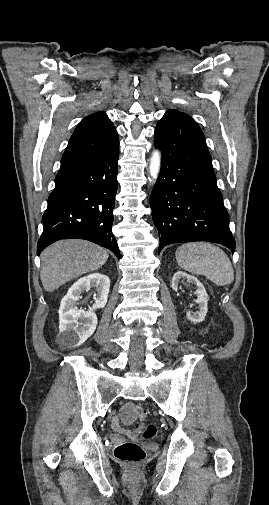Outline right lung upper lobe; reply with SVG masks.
Segmentation results:
<instances>
[{
	"label": "right lung upper lobe",
	"instance_id": "right-lung-upper-lobe-1",
	"mask_svg": "<svg viewBox=\"0 0 269 505\" xmlns=\"http://www.w3.org/2000/svg\"><path fill=\"white\" fill-rule=\"evenodd\" d=\"M118 143L117 131L104 112L84 118L76 127L61 159V167L93 158Z\"/></svg>",
	"mask_w": 269,
	"mask_h": 505
}]
</instances>
